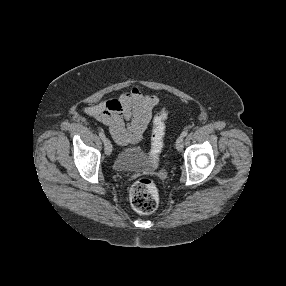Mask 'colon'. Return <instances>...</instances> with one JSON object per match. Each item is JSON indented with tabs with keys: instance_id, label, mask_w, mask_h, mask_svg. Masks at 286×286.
Here are the masks:
<instances>
[{
	"instance_id": "5ec220e1",
	"label": "colon",
	"mask_w": 286,
	"mask_h": 286,
	"mask_svg": "<svg viewBox=\"0 0 286 286\" xmlns=\"http://www.w3.org/2000/svg\"><path fill=\"white\" fill-rule=\"evenodd\" d=\"M168 110L161 109L153 119L150 158L156 162L163 149ZM130 203L141 214L152 213L158 206L159 193L155 183L149 178L138 179L130 190Z\"/></svg>"
}]
</instances>
